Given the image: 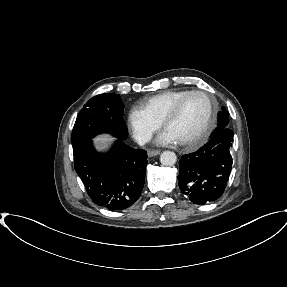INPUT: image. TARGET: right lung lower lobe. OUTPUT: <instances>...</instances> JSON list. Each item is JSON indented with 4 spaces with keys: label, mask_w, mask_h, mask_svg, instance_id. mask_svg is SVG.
Segmentation results:
<instances>
[{
    "label": "right lung lower lobe",
    "mask_w": 287,
    "mask_h": 287,
    "mask_svg": "<svg viewBox=\"0 0 287 287\" xmlns=\"http://www.w3.org/2000/svg\"><path fill=\"white\" fill-rule=\"evenodd\" d=\"M73 155L75 170L94 203L120 211L137 201L145 182V150L131 148L118 138L109 152L97 153L88 140Z\"/></svg>",
    "instance_id": "obj_1"
}]
</instances>
